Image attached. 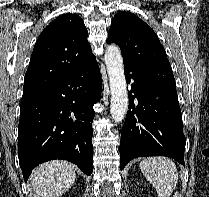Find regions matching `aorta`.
<instances>
[{
    "label": "aorta",
    "instance_id": "762f6f07",
    "mask_svg": "<svg viewBox=\"0 0 209 197\" xmlns=\"http://www.w3.org/2000/svg\"><path fill=\"white\" fill-rule=\"evenodd\" d=\"M105 63L111 89V117L115 122H121L127 112L129 100L123 58L118 46L112 44L106 48Z\"/></svg>",
    "mask_w": 209,
    "mask_h": 197
}]
</instances>
